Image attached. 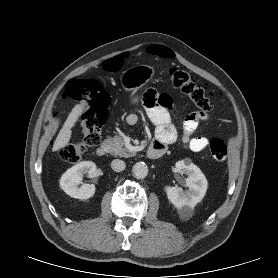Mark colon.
Here are the masks:
<instances>
[{
	"instance_id": "obj_1",
	"label": "colon",
	"mask_w": 278,
	"mask_h": 278,
	"mask_svg": "<svg viewBox=\"0 0 278 278\" xmlns=\"http://www.w3.org/2000/svg\"><path fill=\"white\" fill-rule=\"evenodd\" d=\"M123 64L124 59L116 57L107 60L103 67L108 72H116L121 69ZM169 80L174 87L189 96L201 111L211 110L212 101L209 91L186 71L172 68L169 71ZM63 97L87 104L82 118V138L79 141H71L60 151V156L64 161L76 163L89 148L100 141L101 128L107 117L108 96L97 80L74 79L67 84ZM209 150L215 161L225 162L227 147L224 141L219 138L210 140Z\"/></svg>"
}]
</instances>
